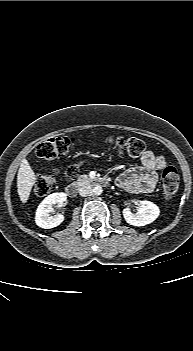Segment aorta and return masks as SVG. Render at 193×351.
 Here are the masks:
<instances>
[{"label":"aorta","mask_w":193,"mask_h":351,"mask_svg":"<svg viewBox=\"0 0 193 351\" xmlns=\"http://www.w3.org/2000/svg\"><path fill=\"white\" fill-rule=\"evenodd\" d=\"M92 192L94 195H101L103 192V189L100 185H96L93 189Z\"/></svg>","instance_id":"1"}]
</instances>
